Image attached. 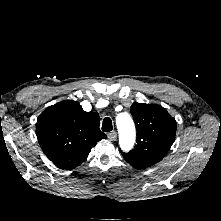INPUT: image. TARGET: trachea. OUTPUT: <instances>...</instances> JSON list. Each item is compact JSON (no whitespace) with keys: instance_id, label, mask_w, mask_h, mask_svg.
I'll return each instance as SVG.
<instances>
[{"instance_id":"obj_1","label":"trachea","mask_w":221,"mask_h":221,"mask_svg":"<svg viewBox=\"0 0 221 221\" xmlns=\"http://www.w3.org/2000/svg\"><path fill=\"white\" fill-rule=\"evenodd\" d=\"M113 126H112V121L109 117L104 118L103 123H102V130L104 132H110L112 131Z\"/></svg>"}]
</instances>
